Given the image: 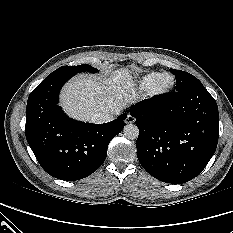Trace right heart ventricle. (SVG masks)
I'll use <instances>...</instances> for the list:
<instances>
[{
    "instance_id": "right-heart-ventricle-1",
    "label": "right heart ventricle",
    "mask_w": 233,
    "mask_h": 233,
    "mask_svg": "<svg viewBox=\"0 0 233 233\" xmlns=\"http://www.w3.org/2000/svg\"><path fill=\"white\" fill-rule=\"evenodd\" d=\"M160 74V72L152 71L143 75L138 81L139 90L143 92L149 91L151 86Z\"/></svg>"
}]
</instances>
